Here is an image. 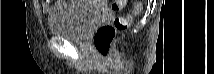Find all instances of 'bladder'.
<instances>
[{
  "instance_id": "bladder-1",
  "label": "bladder",
  "mask_w": 214,
  "mask_h": 74,
  "mask_svg": "<svg viewBox=\"0 0 214 74\" xmlns=\"http://www.w3.org/2000/svg\"><path fill=\"white\" fill-rule=\"evenodd\" d=\"M71 5L58 9L49 19L50 33L73 41L85 40L88 31L101 18L103 11L92 1H68Z\"/></svg>"
}]
</instances>
